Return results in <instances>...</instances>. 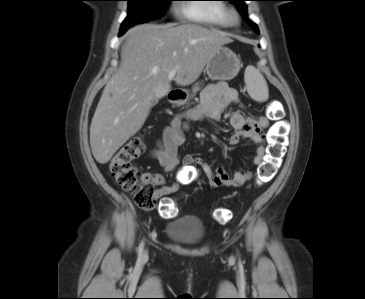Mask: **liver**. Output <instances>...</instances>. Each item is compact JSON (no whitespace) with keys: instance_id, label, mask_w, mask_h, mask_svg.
I'll use <instances>...</instances> for the list:
<instances>
[{"instance_id":"liver-1","label":"liver","mask_w":365,"mask_h":299,"mask_svg":"<svg viewBox=\"0 0 365 299\" xmlns=\"http://www.w3.org/2000/svg\"><path fill=\"white\" fill-rule=\"evenodd\" d=\"M233 40L200 25L142 24L131 28L121 50L119 70L106 84L90 126V146L100 164L134 136L146 121L152 103L177 85L196 81L212 55Z\"/></svg>"}]
</instances>
